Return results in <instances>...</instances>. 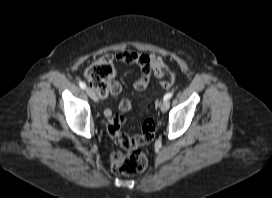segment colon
<instances>
[{"mask_svg":"<svg viewBox=\"0 0 272 198\" xmlns=\"http://www.w3.org/2000/svg\"><path fill=\"white\" fill-rule=\"evenodd\" d=\"M120 60L117 55H105L97 59L86 70L85 77L89 85L102 96L112 93V83L114 75V61ZM149 83V77L145 75L143 78L135 81L138 89H144ZM160 87L168 90L171 84L167 81L161 82ZM126 119L121 114H116L110 121L108 126L109 135L124 149L127 153L114 151L111 154V169L116 174L135 175L142 172L147 166V156L141 150V147L153 140L156 132V125L153 119H146L142 125V132L137 136H129L121 133V127Z\"/></svg>","mask_w":272,"mask_h":198,"instance_id":"5ec220e1","label":"colon"}]
</instances>
